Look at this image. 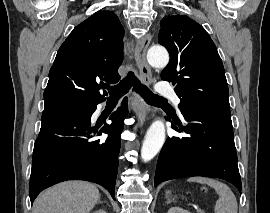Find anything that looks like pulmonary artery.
I'll list each match as a JSON object with an SVG mask.
<instances>
[{
	"label": "pulmonary artery",
	"instance_id": "pulmonary-artery-1",
	"mask_svg": "<svg viewBox=\"0 0 270 213\" xmlns=\"http://www.w3.org/2000/svg\"><path fill=\"white\" fill-rule=\"evenodd\" d=\"M156 89H157V92L160 95L171 97L176 106H178L180 104V98H179V96L174 92L172 86L169 83H167V82H160L157 85V88Z\"/></svg>",
	"mask_w": 270,
	"mask_h": 213
}]
</instances>
